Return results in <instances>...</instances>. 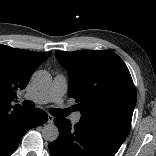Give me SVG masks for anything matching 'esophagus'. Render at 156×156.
I'll return each instance as SVG.
<instances>
[{"label": "esophagus", "mask_w": 156, "mask_h": 156, "mask_svg": "<svg viewBox=\"0 0 156 156\" xmlns=\"http://www.w3.org/2000/svg\"><path fill=\"white\" fill-rule=\"evenodd\" d=\"M53 121H54V116H52V115H48V123H53Z\"/></svg>", "instance_id": "obj_1"}]
</instances>
